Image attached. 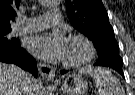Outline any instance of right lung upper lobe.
Listing matches in <instances>:
<instances>
[{
  "mask_svg": "<svg viewBox=\"0 0 135 95\" xmlns=\"http://www.w3.org/2000/svg\"><path fill=\"white\" fill-rule=\"evenodd\" d=\"M19 5L20 0H0V30L11 29L10 20H14Z\"/></svg>",
  "mask_w": 135,
  "mask_h": 95,
  "instance_id": "1",
  "label": "right lung upper lobe"
}]
</instances>
